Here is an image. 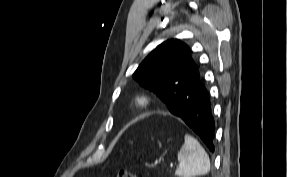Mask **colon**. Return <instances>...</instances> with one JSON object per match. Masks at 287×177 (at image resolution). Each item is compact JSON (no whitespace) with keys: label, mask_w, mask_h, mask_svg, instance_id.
I'll return each mask as SVG.
<instances>
[{"label":"colon","mask_w":287,"mask_h":177,"mask_svg":"<svg viewBox=\"0 0 287 177\" xmlns=\"http://www.w3.org/2000/svg\"><path fill=\"white\" fill-rule=\"evenodd\" d=\"M116 177H136V176L127 169H120L118 170Z\"/></svg>","instance_id":"5ec220e1"}]
</instances>
